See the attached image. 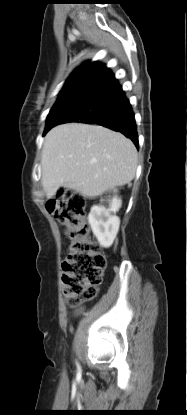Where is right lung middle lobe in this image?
I'll return each instance as SVG.
<instances>
[{
  "label": "right lung middle lobe",
  "instance_id": "right-lung-middle-lobe-1",
  "mask_svg": "<svg viewBox=\"0 0 187 415\" xmlns=\"http://www.w3.org/2000/svg\"><path fill=\"white\" fill-rule=\"evenodd\" d=\"M67 98V97H66ZM66 98H64V99H62L61 101H59V102H56L55 103V105L53 106V108H52V110L50 111V113H49V115H48V118H47V124H46V128H45V131H46V129H47V127H48V125H49V116H50V114H51V112L57 107V105L58 104H62V103H64L65 101H66ZM44 135H45V132H44Z\"/></svg>",
  "mask_w": 187,
  "mask_h": 415
}]
</instances>
